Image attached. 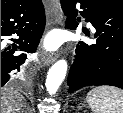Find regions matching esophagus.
I'll list each match as a JSON object with an SVG mask.
<instances>
[{
  "mask_svg": "<svg viewBox=\"0 0 123 113\" xmlns=\"http://www.w3.org/2000/svg\"><path fill=\"white\" fill-rule=\"evenodd\" d=\"M46 11L49 15V21L52 25H59L62 22V13L60 9L59 0H46L45 1ZM56 55L47 52H42L41 62L45 66H49L56 60Z\"/></svg>",
  "mask_w": 123,
  "mask_h": 113,
  "instance_id": "obj_1",
  "label": "esophagus"
}]
</instances>
